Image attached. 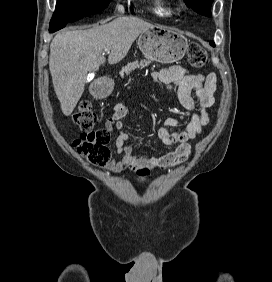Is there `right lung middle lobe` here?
I'll return each instance as SVG.
<instances>
[{
	"instance_id": "obj_1",
	"label": "right lung middle lobe",
	"mask_w": 272,
	"mask_h": 282,
	"mask_svg": "<svg viewBox=\"0 0 272 282\" xmlns=\"http://www.w3.org/2000/svg\"><path fill=\"white\" fill-rule=\"evenodd\" d=\"M111 0H57L50 26L104 10Z\"/></svg>"
}]
</instances>
